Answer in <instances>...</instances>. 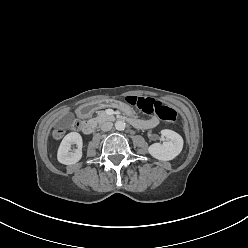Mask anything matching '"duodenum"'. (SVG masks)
Instances as JSON below:
<instances>
[{
    "label": "duodenum",
    "instance_id": "410a0bca",
    "mask_svg": "<svg viewBox=\"0 0 248 248\" xmlns=\"http://www.w3.org/2000/svg\"><path fill=\"white\" fill-rule=\"evenodd\" d=\"M91 105V104H90ZM90 105H87V106H84V107H82L81 109H80V112H79V114H80V116L81 117H86V116H88V115H90L93 111H91L90 109H89V106ZM130 122L132 123V124H137L138 123V121H136V120H130ZM95 123L94 122H92V121H83L82 123H81V129H82V131L85 133V134H92L93 132H94V130H95Z\"/></svg>",
    "mask_w": 248,
    "mask_h": 248
}]
</instances>
